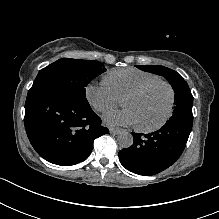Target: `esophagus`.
<instances>
[{
	"mask_svg": "<svg viewBox=\"0 0 219 219\" xmlns=\"http://www.w3.org/2000/svg\"><path fill=\"white\" fill-rule=\"evenodd\" d=\"M120 132H121V129H119V128H111L110 129V133L112 135H118Z\"/></svg>",
	"mask_w": 219,
	"mask_h": 219,
	"instance_id": "esophagus-1",
	"label": "esophagus"
}]
</instances>
